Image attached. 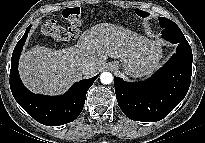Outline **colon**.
<instances>
[{
  "label": "colon",
  "instance_id": "5ec220e1",
  "mask_svg": "<svg viewBox=\"0 0 205 143\" xmlns=\"http://www.w3.org/2000/svg\"><path fill=\"white\" fill-rule=\"evenodd\" d=\"M136 14L139 17H147L148 13L145 10L137 9ZM61 15L67 26L59 25L55 20H47L42 30L43 32L57 42H68L74 40L81 25V10L79 7H67L62 10Z\"/></svg>",
  "mask_w": 205,
  "mask_h": 143
}]
</instances>
